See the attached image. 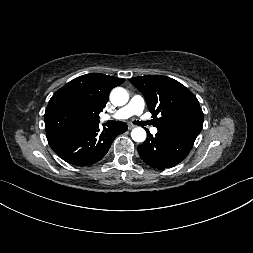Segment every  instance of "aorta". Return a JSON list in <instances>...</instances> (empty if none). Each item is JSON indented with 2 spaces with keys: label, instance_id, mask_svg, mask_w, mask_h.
<instances>
[{
  "label": "aorta",
  "instance_id": "obj_1",
  "mask_svg": "<svg viewBox=\"0 0 253 253\" xmlns=\"http://www.w3.org/2000/svg\"><path fill=\"white\" fill-rule=\"evenodd\" d=\"M110 100L115 106H123L129 100L128 92L124 88L116 87L111 91ZM131 137L135 142H143L146 139V131L141 127L134 128Z\"/></svg>",
  "mask_w": 253,
  "mask_h": 253
}]
</instances>
